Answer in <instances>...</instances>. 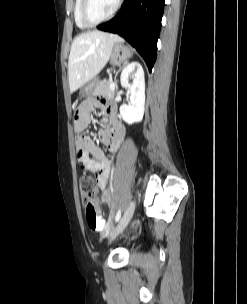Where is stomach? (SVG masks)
<instances>
[{"label": "stomach", "mask_w": 247, "mask_h": 304, "mask_svg": "<svg viewBox=\"0 0 247 304\" xmlns=\"http://www.w3.org/2000/svg\"><path fill=\"white\" fill-rule=\"evenodd\" d=\"M132 54L133 52L131 48L125 46L122 42H117L112 49L110 62L112 65H120L122 62L130 58ZM91 88L92 85L83 87L79 92V97H87L90 94Z\"/></svg>", "instance_id": "1"}]
</instances>
